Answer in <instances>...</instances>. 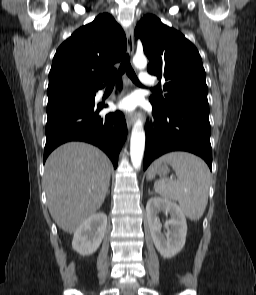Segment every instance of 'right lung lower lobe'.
I'll list each match as a JSON object with an SVG mask.
<instances>
[{
	"label": "right lung lower lobe",
	"instance_id": "1",
	"mask_svg": "<svg viewBox=\"0 0 256 295\" xmlns=\"http://www.w3.org/2000/svg\"><path fill=\"white\" fill-rule=\"evenodd\" d=\"M121 84L119 80L118 85ZM97 90L82 92L86 94L85 98L72 95L48 98L43 162L59 145L68 141H85L101 148L117 167L119 151L127 136L126 121L120 111L98 115L106 106L95 105Z\"/></svg>",
	"mask_w": 256,
	"mask_h": 295
}]
</instances>
